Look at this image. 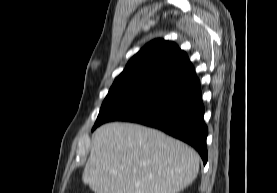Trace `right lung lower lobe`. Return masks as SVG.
I'll use <instances>...</instances> for the list:
<instances>
[{
    "mask_svg": "<svg viewBox=\"0 0 277 193\" xmlns=\"http://www.w3.org/2000/svg\"><path fill=\"white\" fill-rule=\"evenodd\" d=\"M201 97L200 82L194 73L147 94L108 121L136 122L162 130L194 147L205 165L208 128Z\"/></svg>",
    "mask_w": 277,
    "mask_h": 193,
    "instance_id": "1",
    "label": "right lung lower lobe"
}]
</instances>
